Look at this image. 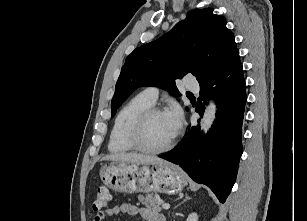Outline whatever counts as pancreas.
<instances>
[{"mask_svg": "<svg viewBox=\"0 0 307 221\" xmlns=\"http://www.w3.org/2000/svg\"><path fill=\"white\" fill-rule=\"evenodd\" d=\"M138 200L147 208L160 211L162 204L161 198L157 194L148 193L146 196L139 195Z\"/></svg>", "mask_w": 307, "mask_h": 221, "instance_id": "pancreas-1", "label": "pancreas"}]
</instances>
